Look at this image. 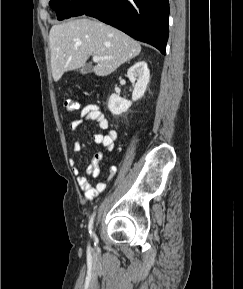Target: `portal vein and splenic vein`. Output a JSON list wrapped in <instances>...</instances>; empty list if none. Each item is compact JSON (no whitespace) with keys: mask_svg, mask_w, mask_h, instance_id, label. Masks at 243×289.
<instances>
[{"mask_svg":"<svg viewBox=\"0 0 243 289\" xmlns=\"http://www.w3.org/2000/svg\"><path fill=\"white\" fill-rule=\"evenodd\" d=\"M106 59H109V57L93 56V61L96 63L101 61V60H106Z\"/></svg>","mask_w":243,"mask_h":289,"instance_id":"1","label":"portal vein and splenic vein"}]
</instances>
